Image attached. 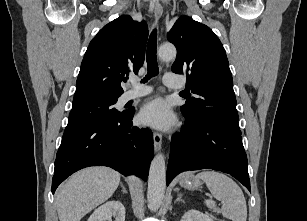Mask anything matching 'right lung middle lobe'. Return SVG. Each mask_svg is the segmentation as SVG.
Segmentation results:
<instances>
[{
	"label": "right lung middle lobe",
	"instance_id": "obj_1",
	"mask_svg": "<svg viewBox=\"0 0 307 221\" xmlns=\"http://www.w3.org/2000/svg\"><path fill=\"white\" fill-rule=\"evenodd\" d=\"M116 102L117 99H107L73 104L69 114L68 125L64 132L103 122L118 116L122 112H119L113 107Z\"/></svg>",
	"mask_w": 307,
	"mask_h": 221
}]
</instances>
